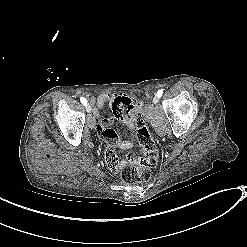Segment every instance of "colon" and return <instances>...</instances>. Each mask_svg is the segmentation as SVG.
I'll list each match as a JSON object with an SVG mask.
<instances>
[{"label":"colon","instance_id":"5ec220e1","mask_svg":"<svg viewBox=\"0 0 247 247\" xmlns=\"http://www.w3.org/2000/svg\"><path fill=\"white\" fill-rule=\"evenodd\" d=\"M140 149L137 153L121 161L116 171L126 184H141L150 180L152 169L160 158L158 145L145 125L143 116L136 123Z\"/></svg>","mask_w":247,"mask_h":247}]
</instances>
